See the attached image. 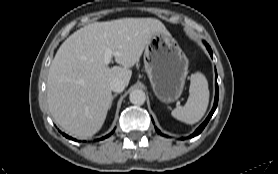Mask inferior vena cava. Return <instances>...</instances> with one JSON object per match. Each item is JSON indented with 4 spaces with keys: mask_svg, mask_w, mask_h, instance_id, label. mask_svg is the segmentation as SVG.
<instances>
[{
    "mask_svg": "<svg viewBox=\"0 0 278 174\" xmlns=\"http://www.w3.org/2000/svg\"><path fill=\"white\" fill-rule=\"evenodd\" d=\"M110 88L112 91L120 93L124 90L125 84L121 79L115 78L110 82Z\"/></svg>",
    "mask_w": 278,
    "mask_h": 174,
    "instance_id": "obj_1",
    "label": "inferior vena cava"
}]
</instances>
